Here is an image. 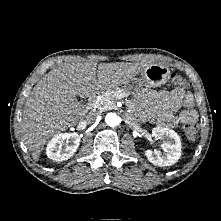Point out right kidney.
I'll return each instance as SVG.
<instances>
[{
  "instance_id": "1",
  "label": "right kidney",
  "mask_w": 221,
  "mask_h": 221,
  "mask_svg": "<svg viewBox=\"0 0 221 221\" xmlns=\"http://www.w3.org/2000/svg\"><path fill=\"white\" fill-rule=\"evenodd\" d=\"M80 144V137L77 133L57 134L48 143L46 154L54 161H65L73 156Z\"/></svg>"
}]
</instances>
